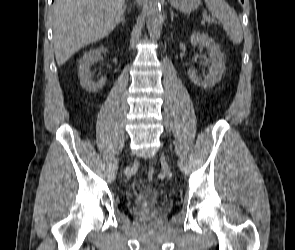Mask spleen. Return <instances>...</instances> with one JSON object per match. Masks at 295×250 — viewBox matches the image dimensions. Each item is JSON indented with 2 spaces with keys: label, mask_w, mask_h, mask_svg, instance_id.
<instances>
[{
  "label": "spleen",
  "mask_w": 295,
  "mask_h": 250,
  "mask_svg": "<svg viewBox=\"0 0 295 250\" xmlns=\"http://www.w3.org/2000/svg\"><path fill=\"white\" fill-rule=\"evenodd\" d=\"M205 3L213 17L222 23L232 43L240 44L243 40V33L235 10L224 0H205Z\"/></svg>",
  "instance_id": "obj_1"
}]
</instances>
